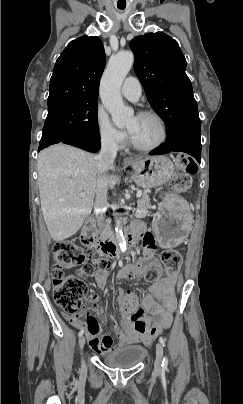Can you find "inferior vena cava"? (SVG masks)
<instances>
[{
  "mask_svg": "<svg viewBox=\"0 0 243 404\" xmlns=\"http://www.w3.org/2000/svg\"><path fill=\"white\" fill-rule=\"evenodd\" d=\"M118 146L114 138H110L108 134H104L101 138V152L97 156L98 170H97V194L94 206L95 216L97 222L102 228L104 222L105 212L107 210V190L109 176L108 170H112L113 162L117 156Z\"/></svg>",
  "mask_w": 243,
  "mask_h": 404,
  "instance_id": "602c4592",
  "label": "inferior vena cava"
}]
</instances>
